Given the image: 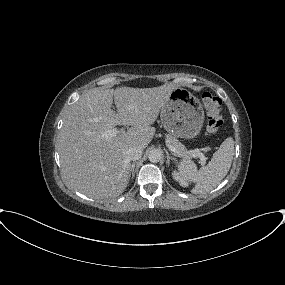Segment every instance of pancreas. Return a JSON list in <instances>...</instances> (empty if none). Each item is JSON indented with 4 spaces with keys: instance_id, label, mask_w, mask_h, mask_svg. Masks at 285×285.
<instances>
[{
    "instance_id": "obj_1",
    "label": "pancreas",
    "mask_w": 285,
    "mask_h": 285,
    "mask_svg": "<svg viewBox=\"0 0 285 285\" xmlns=\"http://www.w3.org/2000/svg\"><path fill=\"white\" fill-rule=\"evenodd\" d=\"M168 145L173 146L176 149L174 153L176 156L183 158V159H191L193 157L192 153H190L185 146L180 143L175 137L169 135L167 136L166 140Z\"/></svg>"
}]
</instances>
